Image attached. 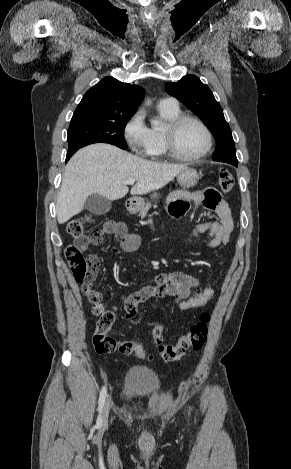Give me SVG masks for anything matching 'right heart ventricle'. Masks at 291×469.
I'll return each instance as SVG.
<instances>
[{"label":"right heart ventricle","instance_id":"right-heart-ventricle-1","mask_svg":"<svg viewBox=\"0 0 291 469\" xmlns=\"http://www.w3.org/2000/svg\"><path fill=\"white\" fill-rule=\"evenodd\" d=\"M160 116L166 121L169 122L181 115L179 107H158ZM146 156L152 160H164L167 158L168 154L164 145L163 139V129L160 128H150V143L145 152Z\"/></svg>","mask_w":291,"mask_h":469}]
</instances>
